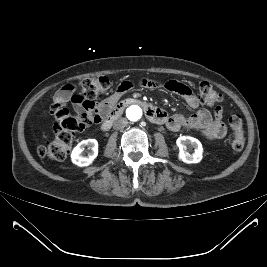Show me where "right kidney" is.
Returning a JSON list of instances; mask_svg holds the SVG:
<instances>
[{
  "instance_id": "1",
  "label": "right kidney",
  "mask_w": 267,
  "mask_h": 267,
  "mask_svg": "<svg viewBox=\"0 0 267 267\" xmlns=\"http://www.w3.org/2000/svg\"><path fill=\"white\" fill-rule=\"evenodd\" d=\"M87 149L88 156L83 155ZM98 155V142L96 139H87L81 141L72 151L71 160L80 167L90 165Z\"/></svg>"
}]
</instances>
